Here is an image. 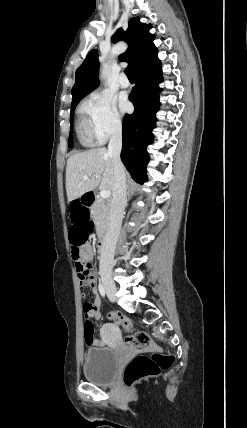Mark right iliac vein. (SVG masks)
I'll return each mask as SVG.
<instances>
[{
  "instance_id": "obj_1",
  "label": "right iliac vein",
  "mask_w": 247,
  "mask_h": 428,
  "mask_svg": "<svg viewBox=\"0 0 247 428\" xmlns=\"http://www.w3.org/2000/svg\"><path fill=\"white\" fill-rule=\"evenodd\" d=\"M101 279L105 288V291L108 295V297L114 301L115 300V295H116V286L115 283L112 279V276L109 272L107 271H102L101 272Z\"/></svg>"
}]
</instances>
